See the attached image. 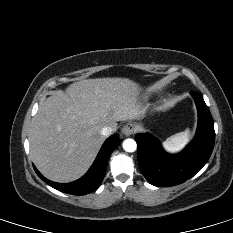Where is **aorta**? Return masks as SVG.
Listing matches in <instances>:
<instances>
[{"instance_id": "762f6f07", "label": "aorta", "mask_w": 233, "mask_h": 233, "mask_svg": "<svg viewBox=\"0 0 233 233\" xmlns=\"http://www.w3.org/2000/svg\"><path fill=\"white\" fill-rule=\"evenodd\" d=\"M122 146L126 152H134L137 149L135 140L130 138L124 140Z\"/></svg>"}]
</instances>
